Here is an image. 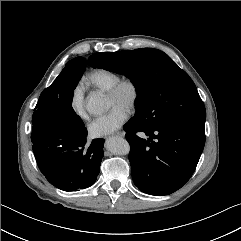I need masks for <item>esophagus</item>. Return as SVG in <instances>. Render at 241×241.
Wrapping results in <instances>:
<instances>
[{
  "instance_id": "obj_1",
  "label": "esophagus",
  "mask_w": 241,
  "mask_h": 241,
  "mask_svg": "<svg viewBox=\"0 0 241 241\" xmlns=\"http://www.w3.org/2000/svg\"><path fill=\"white\" fill-rule=\"evenodd\" d=\"M114 136H119V137H123L124 136V133L122 132H117L115 134H113Z\"/></svg>"
}]
</instances>
